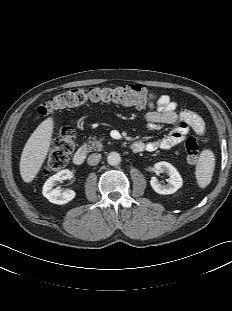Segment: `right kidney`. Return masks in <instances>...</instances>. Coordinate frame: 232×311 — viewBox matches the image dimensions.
<instances>
[{
  "mask_svg": "<svg viewBox=\"0 0 232 311\" xmlns=\"http://www.w3.org/2000/svg\"><path fill=\"white\" fill-rule=\"evenodd\" d=\"M71 178V172L69 170H62L55 175L51 176L43 186V195L51 203L54 204H66L74 199L76 193L73 190L66 189L63 192L57 188H53L58 182Z\"/></svg>",
  "mask_w": 232,
  "mask_h": 311,
  "instance_id": "obj_1",
  "label": "right kidney"
}]
</instances>
